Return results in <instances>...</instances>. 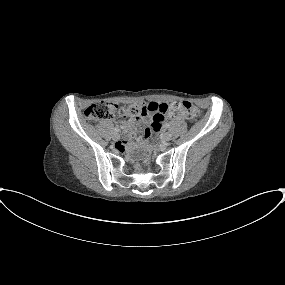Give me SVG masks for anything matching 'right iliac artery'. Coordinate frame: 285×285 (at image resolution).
Instances as JSON below:
<instances>
[{
  "instance_id": "right-iliac-artery-1",
  "label": "right iliac artery",
  "mask_w": 285,
  "mask_h": 285,
  "mask_svg": "<svg viewBox=\"0 0 285 285\" xmlns=\"http://www.w3.org/2000/svg\"><path fill=\"white\" fill-rule=\"evenodd\" d=\"M114 132H119V129L118 128H114Z\"/></svg>"
}]
</instances>
